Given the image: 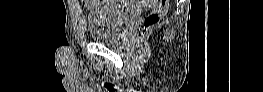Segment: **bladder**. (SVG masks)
<instances>
[{
  "instance_id": "bladder-1",
  "label": "bladder",
  "mask_w": 263,
  "mask_h": 92,
  "mask_svg": "<svg viewBox=\"0 0 263 92\" xmlns=\"http://www.w3.org/2000/svg\"><path fill=\"white\" fill-rule=\"evenodd\" d=\"M115 1H97L87 16L88 32L93 41L117 44L131 29L137 12L135 9H119Z\"/></svg>"
}]
</instances>
